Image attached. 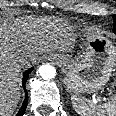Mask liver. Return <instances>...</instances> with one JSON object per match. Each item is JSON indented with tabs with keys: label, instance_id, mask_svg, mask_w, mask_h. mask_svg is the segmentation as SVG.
Returning <instances> with one entry per match:
<instances>
[{
	"label": "liver",
	"instance_id": "6515ba94",
	"mask_svg": "<svg viewBox=\"0 0 116 116\" xmlns=\"http://www.w3.org/2000/svg\"><path fill=\"white\" fill-rule=\"evenodd\" d=\"M42 21L29 18L21 24H0V116H10L19 102L17 74L20 58L48 51L32 38L38 24H43Z\"/></svg>",
	"mask_w": 116,
	"mask_h": 116
}]
</instances>
